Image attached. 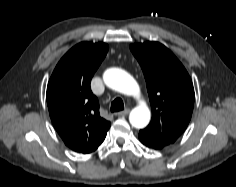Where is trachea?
<instances>
[{"label":"trachea","instance_id":"obj_1","mask_svg":"<svg viewBox=\"0 0 236 187\" xmlns=\"http://www.w3.org/2000/svg\"><path fill=\"white\" fill-rule=\"evenodd\" d=\"M123 109H124L123 100L119 97L114 99V101L111 103V107H110L111 112H118Z\"/></svg>","mask_w":236,"mask_h":187}]
</instances>
